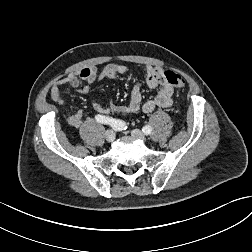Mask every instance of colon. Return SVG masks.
Listing matches in <instances>:
<instances>
[{"label": "colon", "instance_id": "1", "mask_svg": "<svg viewBox=\"0 0 252 252\" xmlns=\"http://www.w3.org/2000/svg\"><path fill=\"white\" fill-rule=\"evenodd\" d=\"M165 80L172 86L177 89H182L185 86V80L183 77L178 75L177 73H174L172 71H166L164 73ZM106 110L110 114H116L120 116H127L132 113H135L139 110L137 103H131L127 102L124 104H118L114 101H108L105 105Z\"/></svg>", "mask_w": 252, "mask_h": 252}]
</instances>
